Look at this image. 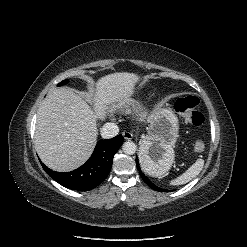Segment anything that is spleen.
Instances as JSON below:
<instances>
[{
  "mask_svg": "<svg viewBox=\"0 0 247 247\" xmlns=\"http://www.w3.org/2000/svg\"><path fill=\"white\" fill-rule=\"evenodd\" d=\"M203 165H204V160L198 159L191 167L188 168L187 171H185L182 175H180L176 179L172 180L171 184L182 185L189 182L201 172Z\"/></svg>",
  "mask_w": 247,
  "mask_h": 247,
  "instance_id": "spleen-1",
  "label": "spleen"
}]
</instances>
